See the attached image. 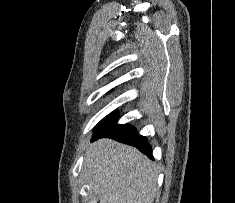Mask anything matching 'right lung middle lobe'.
<instances>
[{"instance_id": "dd1d6c3e", "label": "right lung middle lobe", "mask_w": 235, "mask_h": 203, "mask_svg": "<svg viewBox=\"0 0 235 203\" xmlns=\"http://www.w3.org/2000/svg\"><path fill=\"white\" fill-rule=\"evenodd\" d=\"M115 115H117V114H110L109 116H107L106 118H104L102 121H100V122L98 123L97 127H98L100 124H102L103 122H105L107 119H110L111 117H113V116H115Z\"/></svg>"}]
</instances>
